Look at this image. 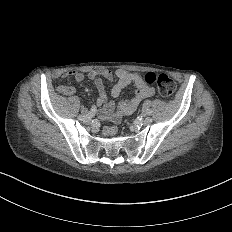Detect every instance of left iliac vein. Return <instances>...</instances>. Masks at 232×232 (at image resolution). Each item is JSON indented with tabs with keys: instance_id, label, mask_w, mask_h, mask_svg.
Returning a JSON list of instances; mask_svg holds the SVG:
<instances>
[{
	"instance_id": "4c4485c4",
	"label": "left iliac vein",
	"mask_w": 232,
	"mask_h": 232,
	"mask_svg": "<svg viewBox=\"0 0 232 232\" xmlns=\"http://www.w3.org/2000/svg\"><path fill=\"white\" fill-rule=\"evenodd\" d=\"M145 123L146 124H151L152 123V118L151 117H146L145 118Z\"/></svg>"
}]
</instances>
